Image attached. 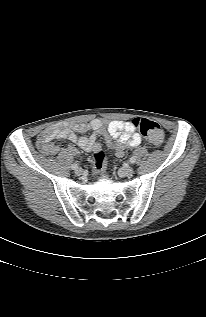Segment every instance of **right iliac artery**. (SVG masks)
I'll use <instances>...</instances> for the list:
<instances>
[{
    "label": "right iliac artery",
    "instance_id": "1",
    "mask_svg": "<svg viewBox=\"0 0 206 317\" xmlns=\"http://www.w3.org/2000/svg\"><path fill=\"white\" fill-rule=\"evenodd\" d=\"M71 168H72L73 170H76V169L78 168V165L74 163V164H72Z\"/></svg>",
    "mask_w": 206,
    "mask_h": 317
}]
</instances>
